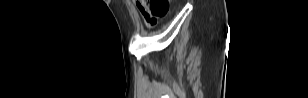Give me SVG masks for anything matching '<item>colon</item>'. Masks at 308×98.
<instances>
[{"label": "colon", "instance_id": "colon-1", "mask_svg": "<svg viewBox=\"0 0 308 98\" xmlns=\"http://www.w3.org/2000/svg\"><path fill=\"white\" fill-rule=\"evenodd\" d=\"M141 14L149 26H154L157 21L168 13V0H135Z\"/></svg>", "mask_w": 308, "mask_h": 98}]
</instances>
